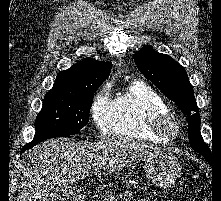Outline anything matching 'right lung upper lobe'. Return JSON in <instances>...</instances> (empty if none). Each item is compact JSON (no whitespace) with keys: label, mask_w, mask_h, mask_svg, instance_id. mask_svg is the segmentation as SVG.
I'll use <instances>...</instances> for the list:
<instances>
[{"label":"right lung upper lobe","mask_w":221,"mask_h":201,"mask_svg":"<svg viewBox=\"0 0 221 201\" xmlns=\"http://www.w3.org/2000/svg\"><path fill=\"white\" fill-rule=\"evenodd\" d=\"M112 64L90 58L60 72L49 92L85 95L95 92L109 76Z\"/></svg>","instance_id":"cb5924a9"}]
</instances>
